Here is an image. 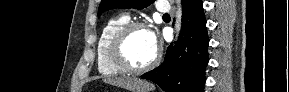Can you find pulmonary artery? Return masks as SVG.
I'll use <instances>...</instances> for the list:
<instances>
[{
    "mask_svg": "<svg viewBox=\"0 0 289 92\" xmlns=\"http://www.w3.org/2000/svg\"><path fill=\"white\" fill-rule=\"evenodd\" d=\"M156 9L160 12V13H168L170 8L169 5L166 2H158L156 5Z\"/></svg>",
    "mask_w": 289,
    "mask_h": 92,
    "instance_id": "1",
    "label": "pulmonary artery"
}]
</instances>
